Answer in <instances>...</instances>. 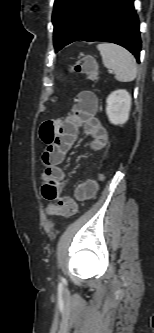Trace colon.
<instances>
[{
  "label": "colon",
  "instance_id": "5ec220e1",
  "mask_svg": "<svg viewBox=\"0 0 154 333\" xmlns=\"http://www.w3.org/2000/svg\"><path fill=\"white\" fill-rule=\"evenodd\" d=\"M71 70L75 73L86 74L90 78H95L97 74L96 62L92 57H84L78 60L72 65ZM82 184L83 182H80L79 186ZM47 212L51 216L71 217L77 212V203L72 197H62L56 205H49Z\"/></svg>",
  "mask_w": 154,
  "mask_h": 333
}]
</instances>
